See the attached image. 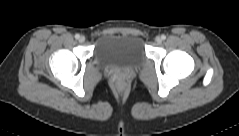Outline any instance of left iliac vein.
<instances>
[{
	"label": "left iliac vein",
	"instance_id": "4c4485c4",
	"mask_svg": "<svg viewBox=\"0 0 239 136\" xmlns=\"http://www.w3.org/2000/svg\"><path fill=\"white\" fill-rule=\"evenodd\" d=\"M155 42H156L157 44H161L162 38H161L160 36H157V37L155 38Z\"/></svg>",
	"mask_w": 239,
	"mask_h": 136
}]
</instances>
